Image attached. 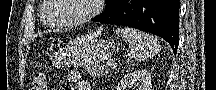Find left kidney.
Wrapping results in <instances>:
<instances>
[{"instance_id":"5707ae66","label":"left kidney","mask_w":216,"mask_h":90,"mask_svg":"<svg viewBox=\"0 0 216 90\" xmlns=\"http://www.w3.org/2000/svg\"><path fill=\"white\" fill-rule=\"evenodd\" d=\"M151 72L148 70H137L127 74L118 84L117 90H151Z\"/></svg>"}]
</instances>
